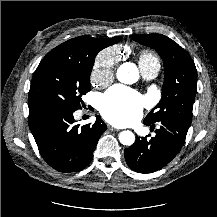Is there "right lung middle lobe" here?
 <instances>
[{
	"label": "right lung middle lobe",
	"mask_w": 217,
	"mask_h": 217,
	"mask_svg": "<svg viewBox=\"0 0 217 217\" xmlns=\"http://www.w3.org/2000/svg\"><path fill=\"white\" fill-rule=\"evenodd\" d=\"M98 51L88 56L48 53L34 72L29 114L45 110L76 111L91 89L90 74Z\"/></svg>",
	"instance_id": "obj_1"
}]
</instances>
